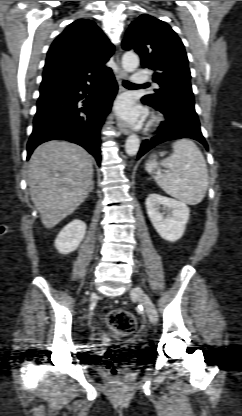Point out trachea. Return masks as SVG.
<instances>
[{
  "label": "trachea",
  "instance_id": "1",
  "mask_svg": "<svg viewBox=\"0 0 242 416\" xmlns=\"http://www.w3.org/2000/svg\"><path fill=\"white\" fill-rule=\"evenodd\" d=\"M123 86H125V87H139V86L148 87L149 85L148 84L137 85V84H133V83L127 81V80H124L123 81Z\"/></svg>",
  "mask_w": 242,
  "mask_h": 416
}]
</instances>
